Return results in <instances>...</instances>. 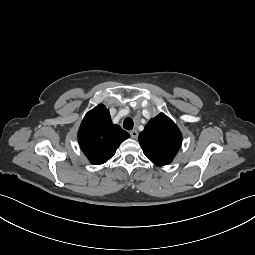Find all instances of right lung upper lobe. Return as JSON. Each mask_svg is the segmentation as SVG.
Segmentation results:
<instances>
[{
  "mask_svg": "<svg viewBox=\"0 0 255 255\" xmlns=\"http://www.w3.org/2000/svg\"><path fill=\"white\" fill-rule=\"evenodd\" d=\"M129 136L119 125L112 124L109 110L100 104L85 115L78 141L89 161L100 165L108 161Z\"/></svg>",
  "mask_w": 255,
  "mask_h": 255,
  "instance_id": "right-lung-upper-lobe-1",
  "label": "right lung upper lobe"
}]
</instances>
